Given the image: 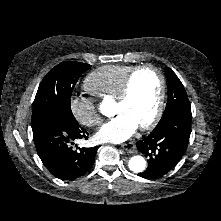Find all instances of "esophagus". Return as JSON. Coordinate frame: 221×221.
<instances>
[{"mask_svg":"<svg viewBox=\"0 0 221 221\" xmlns=\"http://www.w3.org/2000/svg\"><path fill=\"white\" fill-rule=\"evenodd\" d=\"M122 148L130 153L136 152V145L133 142L123 144Z\"/></svg>","mask_w":221,"mask_h":221,"instance_id":"esophagus-1","label":"esophagus"}]
</instances>
